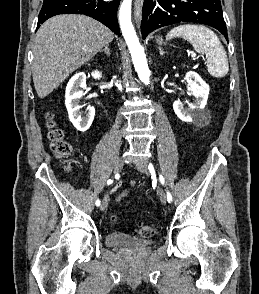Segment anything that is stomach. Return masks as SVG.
<instances>
[{
    "mask_svg": "<svg viewBox=\"0 0 259 294\" xmlns=\"http://www.w3.org/2000/svg\"><path fill=\"white\" fill-rule=\"evenodd\" d=\"M157 43H158V44H162V39H161V38H158V39H157Z\"/></svg>",
    "mask_w": 259,
    "mask_h": 294,
    "instance_id": "1",
    "label": "stomach"
}]
</instances>
